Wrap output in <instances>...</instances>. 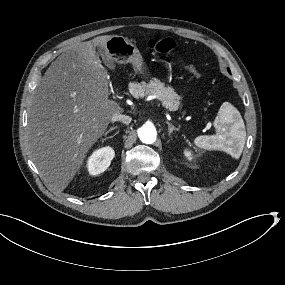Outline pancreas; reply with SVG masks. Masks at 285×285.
<instances>
[{
  "instance_id": "pancreas-1",
  "label": "pancreas",
  "mask_w": 285,
  "mask_h": 285,
  "mask_svg": "<svg viewBox=\"0 0 285 285\" xmlns=\"http://www.w3.org/2000/svg\"><path fill=\"white\" fill-rule=\"evenodd\" d=\"M131 94L136 98H145L146 96H154L161 101L164 107L169 108L171 111H177L179 109V99L177 93L173 88H165L159 80H152L148 85L133 84Z\"/></svg>"
}]
</instances>
